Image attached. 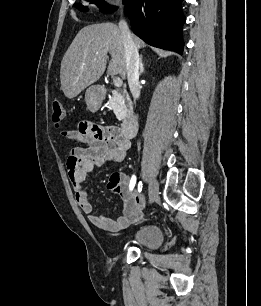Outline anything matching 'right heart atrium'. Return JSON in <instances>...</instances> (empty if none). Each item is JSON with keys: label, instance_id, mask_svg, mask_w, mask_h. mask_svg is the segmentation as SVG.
<instances>
[{"label": "right heart atrium", "instance_id": "d8ad5b80", "mask_svg": "<svg viewBox=\"0 0 261 306\" xmlns=\"http://www.w3.org/2000/svg\"><path fill=\"white\" fill-rule=\"evenodd\" d=\"M102 2L110 8H117L120 6L122 0H102Z\"/></svg>", "mask_w": 261, "mask_h": 306}]
</instances>
